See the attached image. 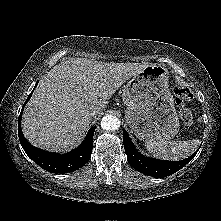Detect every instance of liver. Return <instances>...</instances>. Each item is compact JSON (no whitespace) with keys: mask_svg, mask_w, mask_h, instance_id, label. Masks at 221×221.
Here are the masks:
<instances>
[{"mask_svg":"<svg viewBox=\"0 0 221 221\" xmlns=\"http://www.w3.org/2000/svg\"><path fill=\"white\" fill-rule=\"evenodd\" d=\"M147 66L85 58L55 65L40 80L24 109V136L34 146L49 151L77 146L92 121L91 110L105 109L116 90Z\"/></svg>","mask_w":221,"mask_h":221,"instance_id":"1","label":"liver"}]
</instances>
